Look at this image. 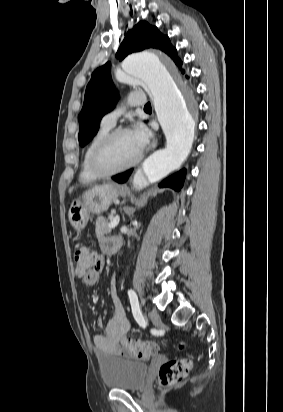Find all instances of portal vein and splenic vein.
<instances>
[{
  "mask_svg": "<svg viewBox=\"0 0 283 412\" xmlns=\"http://www.w3.org/2000/svg\"><path fill=\"white\" fill-rule=\"evenodd\" d=\"M120 218L119 216H115L114 218L111 219L108 228L113 229L115 227H117V225L119 224Z\"/></svg>",
  "mask_w": 283,
  "mask_h": 412,
  "instance_id": "portal-vein-and-splenic-vein-1",
  "label": "portal vein and splenic vein"
}]
</instances>
